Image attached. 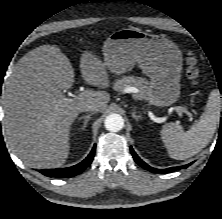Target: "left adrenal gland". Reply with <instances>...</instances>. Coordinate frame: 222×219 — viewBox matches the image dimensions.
I'll use <instances>...</instances> for the list:
<instances>
[{
  "mask_svg": "<svg viewBox=\"0 0 222 219\" xmlns=\"http://www.w3.org/2000/svg\"><path fill=\"white\" fill-rule=\"evenodd\" d=\"M132 117H133L136 121H138L139 119H141V116H140V115H136V112H135V111L132 112Z\"/></svg>",
  "mask_w": 222,
  "mask_h": 219,
  "instance_id": "a2214340",
  "label": "left adrenal gland"
}]
</instances>
